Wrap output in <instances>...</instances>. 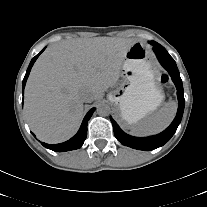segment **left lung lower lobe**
Instances as JSON below:
<instances>
[{"instance_id": "0a47b994", "label": "left lung lower lobe", "mask_w": 207, "mask_h": 207, "mask_svg": "<svg viewBox=\"0 0 207 207\" xmlns=\"http://www.w3.org/2000/svg\"><path fill=\"white\" fill-rule=\"evenodd\" d=\"M149 43L153 45V51L155 52L159 62L168 71L177 88L179 105L175 119L173 120L171 125L160 134L145 138H137L124 133L120 129L118 124L110 117V120L113 125L114 135L117 138V140L125 146H129L131 148L144 151L154 150L158 147L163 146L167 141H169V139L176 132L177 127L181 122L185 102L182 80L180 78V74L174 59L169 55L166 49L157 42L151 41Z\"/></svg>"}]
</instances>
